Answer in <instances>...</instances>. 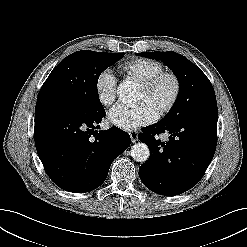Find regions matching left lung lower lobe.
I'll use <instances>...</instances> for the list:
<instances>
[{
	"label": "left lung lower lobe",
	"instance_id": "1",
	"mask_svg": "<svg viewBox=\"0 0 247 247\" xmlns=\"http://www.w3.org/2000/svg\"><path fill=\"white\" fill-rule=\"evenodd\" d=\"M217 119L198 115L144 128L138 138L148 145L150 157L139 167L143 184L165 196L179 195L197 184L215 153ZM165 132L170 134L168 142L157 137Z\"/></svg>",
	"mask_w": 247,
	"mask_h": 247
}]
</instances>
